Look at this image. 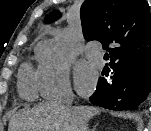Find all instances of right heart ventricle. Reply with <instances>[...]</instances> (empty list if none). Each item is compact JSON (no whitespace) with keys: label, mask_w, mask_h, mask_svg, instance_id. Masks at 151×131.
<instances>
[{"label":"right heart ventricle","mask_w":151,"mask_h":131,"mask_svg":"<svg viewBox=\"0 0 151 131\" xmlns=\"http://www.w3.org/2000/svg\"><path fill=\"white\" fill-rule=\"evenodd\" d=\"M18 91L26 100L36 99L40 92L36 72L28 64L24 65L19 73Z\"/></svg>","instance_id":"1"}]
</instances>
